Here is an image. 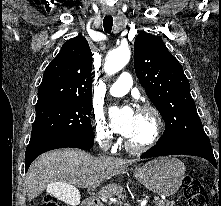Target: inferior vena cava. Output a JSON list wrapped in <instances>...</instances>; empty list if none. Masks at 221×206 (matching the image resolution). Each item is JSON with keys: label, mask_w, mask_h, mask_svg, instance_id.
<instances>
[{"label": "inferior vena cava", "mask_w": 221, "mask_h": 206, "mask_svg": "<svg viewBox=\"0 0 221 206\" xmlns=\"http://www.w3.org/2000/svg\"><path fill=\"white\" fill-rule=\"evenodd\" d=\"M109 147L110 145H109V142L107 141V143L104 144V150L107 151Z\"/></svg>", "instance_id": "inferior-vena-cava-1"}]
</instances>
